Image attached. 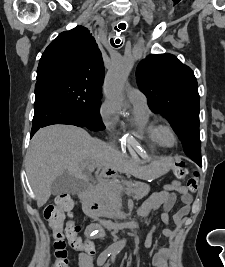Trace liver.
<instances>
[{
  "label": "liver",
  "instance_id": "obj_1",
  "mask_svg": "<svg viewBox=\"0 0 225 267\" xmlns=\"http://www.w3.org/2000/svg\"><path fill=\"white\" fill-rule=\"evenodd\" d=\"M24 163L38 207L46 204L52 182L65 172L87 181L82 163H86L89 172L99 165L103 176L110 168L138 177L148 176V172L121 156L111 145L92 138L82 128L65 124L41 128L30 142Z\"/></svg>",
  "mask_w": 225,
  "mask_h": 267
}]
</instances>
